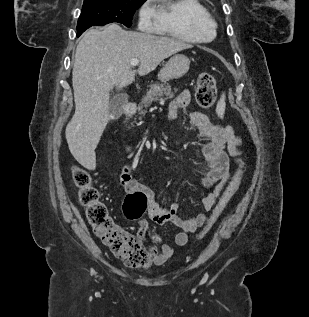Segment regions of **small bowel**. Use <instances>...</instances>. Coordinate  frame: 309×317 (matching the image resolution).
I'll return each instance as SVG.
<instances>
[{
  "mask_svg": "<svg viewBox=\"0 0 309 317\" xmlns=\"http://www.w3.org/2000/svg\"><path fill=\"white\" fill-rule=\"evenodd\" d=\"M190 101V93L187 90L177 94L169 106V117H176L177 111L185 108ZM190 123L199 131L203 156V177L200 186L210 190L202 199L203 207L210 211L216 205L225 186L231 180L229 170V157H233L238 167L243 166L241 158V139L234 130L226 125L214 124L206 115L199 112H192L189 115ZM132 168L129 165L123 167L120 175V183L126 192L132 194L141 192L147 198L148 217L158 224L170 222L180 230L174 237L175 245L184 246L189 239V234L196 232L208 221L209 216L205 212L199 213L195 218L184 220L179 215L180 204L173 202L168 206L159 204L154 195L139 181L131 176ZM148 228L146 219L139 220V234L144 235ZM174 253V247L163 245L161 252L154 255L152 260L160 265L167 261Z\"/></svg>",
  "mask_w": 309,
  "mask_h": 317,
  "instance_id": "1",
  "label": "small bowel"
}]
</instances>
